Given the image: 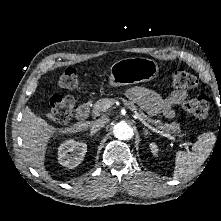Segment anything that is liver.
<instances>
[{
  "mask_svg": "<svg viewBox=\"0 0 221 221\" xmlns=\"http://www.w3.org/2000/svg\"><path fill=\"white\" fill-rule=\"evenodd\" d=\"M100 120L105 123L109 121L107 117L101 118ZM92 124L93 122L81 121L66 129H56L54 126L48 124L42 117L34 114L29 107H26L23 111L20 129L27 161L42 176H47L44 158L47 142L53 136V133L55 131L68 134L77 133L91 127Z\"/></svg>",
  "mask_w": 221,
  "mask_h": 221,
  "instance_id": "1",
  "label": "liver"
}]
</instances>
